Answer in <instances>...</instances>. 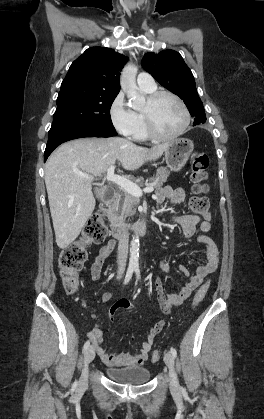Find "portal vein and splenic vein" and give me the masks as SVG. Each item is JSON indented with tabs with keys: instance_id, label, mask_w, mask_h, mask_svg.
<instances>
[{
	"instance_id": "18ae733b",
	"label": "portal vein and splenic vein",
	"mask_w": 264,
	"mask_h": 419,
	"mask_svg": "<svg viewBox=\"0 0 264 419\" xmlns=\"http://www.w3.org/2000/svg\"><path fill=\"white\" fill-rule=\"evenodd\" d=\"M114 166H110L107 170V175H106V180L113 182L115 184H117L118 186H120L122 189H124L126 192H128L129 194L136 196V197H141L143 192L145 193H151L154 190L153 186H148L144 189H141L137 184L133 183L132 181L115 175L114 174ZM82 177L86 178V179H91L90 176L85 175V174H81Z\"/></svg>"
}]
</instances>
